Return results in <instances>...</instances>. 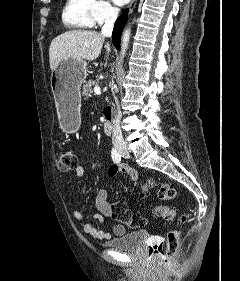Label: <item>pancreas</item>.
<instances>
[{
    "mask_svg": "<svg viewBox=\"0 0 240 281\" xmlns=\"http://www.w3.org/2000/svg\"><path fill=\"white\" fill-rule=\"evenodd\" d=\"M98 83L97 82H94V81H88L86 82L84 85H83V91H82V95L83 96H86V97H89L92 93V87L93 86H97Z\"/></svg>",
    "mask_w": 240,
    "mask_h": 281,
    "instance_id": "pancreas-1",
    "label": "pancreas"
}]
</instances>
